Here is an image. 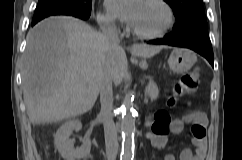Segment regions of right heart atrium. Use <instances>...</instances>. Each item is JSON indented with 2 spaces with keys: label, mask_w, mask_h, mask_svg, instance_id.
<instances>
[{
  "label": "right heart atrium",
  "mask_w": 242,
  "mask_h": 160,
  "mask_svg": "<svg viewBox=\"0 0 242 160\" xmlns=\"http://www.w3.org/2000/svg\"><path fill=\"white\" fill-rule=\"evenodd\" d=\"M98 21L104 28H113L115 26V20L113 17L106 13H99Z\"/></svg>",
  "instance_id": "right-heart-atrium-1"
}]
</instances>
